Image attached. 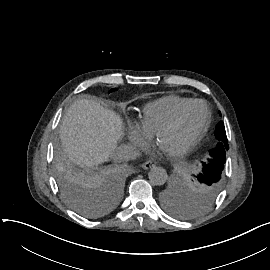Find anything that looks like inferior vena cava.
Here are the masks:
<instances>
[{
	"instance_id": "1",
	"label": "inferior vena cava",
	"mask_w": 270,
	"mask_h": 270,
	"mask_svg": "<svg viewBox=\"0 0 270 270\" xmlns=\"http://www.w3.org/2000/svg\"><path fill=\"white\" fill-rule=\"evenodd\" d=\"M139 152L132 146L121 144L112 153V158L115 161L123 160L129 161L134 160L138 156Z\"/></svg>"
}]
</instances>
